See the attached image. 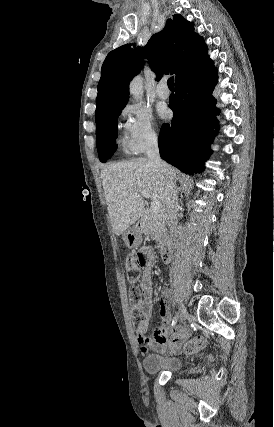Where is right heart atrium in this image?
<instances>
[{"label":"right heart atrium","instance_id":"right-heart-atrium-1","mask_svg":"<svg viewBox=\"0 0 274 427\" xmlns=\"http://www.w3.org/2000/svg\"><path fill=\"white\" fill-rule=\"evenodd\" d=\"M123 115L125 140L132 151L140 153L157 143L158 133L148 109L135 105Z\"/></svg>","mask_w":274,"mask_h":427}]
</instances>
